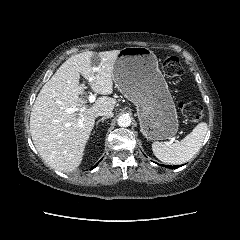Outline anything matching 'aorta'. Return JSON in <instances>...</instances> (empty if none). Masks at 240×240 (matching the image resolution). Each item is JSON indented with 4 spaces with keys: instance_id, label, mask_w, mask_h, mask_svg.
I'll use <instances>...</instances> for the list:
<instances>
[{
    "instance_id": "obj_1",
    "label": "aorta",
    "mask_w": 240,
    "mask_h": 240,
    "mask_svg": "<svg viewBox=\"0 0 240 240\" xmlns=\"http://www.w3.org/2000/svg\"><path fill=\"white\" fill-rule=\"evenodd\" d=\"M117 123L120 127H128L131 124V117L127 114H123L117 119Z\"/></svg>"
}]
</instances>
